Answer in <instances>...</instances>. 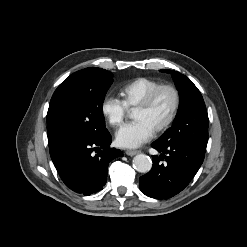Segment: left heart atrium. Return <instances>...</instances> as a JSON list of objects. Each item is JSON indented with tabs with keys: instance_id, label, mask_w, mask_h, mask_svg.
Instances as JSON below:
<instances>
[{
	"instance_id": "obj_1",
	"label": "left heart atrium",
	"mask_w": 247,
	"mask_h": 247,
	"mask_svg": "<svg viewBox=\"0 0 247 247\" xmlns=\"http://www.w3.org/2000/svg\"><path fill=\"white\" fill-rule=\"evenodd\" d=\"M154 129L143 120L125 123L116 132V143L123 148H136L150 140Z\"/></svg>"
}]
</instances>
